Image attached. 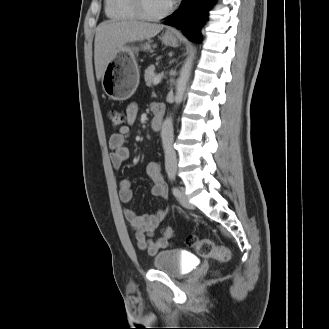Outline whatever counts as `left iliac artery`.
<instances>
[{
    "instance_id": "1",
    "label": "left iliac artery",
    "mask_w": 329,
    "mask_h": 329,
    "mask_svg": "<svg viewBox=\"0 0 329 329\" xmlns=\"http://www.w3.org/2000/svg\"><path fill=\"white\" fill-rule=\"evenodd\" d=\"M168 178L171 181V183H173L175 181V173L174 172H169L168 173ZM172 193H173L174 196L178 197L180 195V190L176 186H173L172 187Z\"/></svg>"
}]
</instances>
